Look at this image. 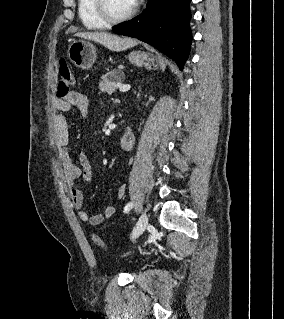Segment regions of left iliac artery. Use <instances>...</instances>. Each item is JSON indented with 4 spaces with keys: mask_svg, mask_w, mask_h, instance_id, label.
<instances>
[{
    "mask_svg": "<svg viewBox=\"0 0 284 319\" xmlns=\"http://www.w3.org/2000/svg\"><path fill=\"white\" fill-rule=\"evenodd\" d=\"M133 207V203L132 202H129L126 204V206L124 207V212L127 213L129 212Z\"/></svg>",
    "mask_w": 284,
    "mask_h": 319,
    "instance_id": "44dca946",
    "label": "left iliac artery"
}]
</instances>
